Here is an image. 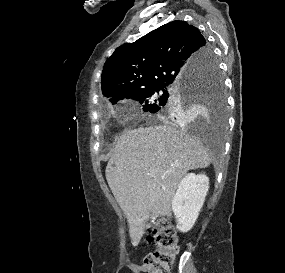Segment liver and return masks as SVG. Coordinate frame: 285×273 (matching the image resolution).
Returning <instances> with one entry per match:
<instances>
[{"label":"liver","instance_id":"obj_1","mask_svg":"<svg viewBox=\"0 0 285 273\" xmlns=\"http://www.w3.org/2000/svg\"><path fill=\"white\" fill-rule=\"evenodd\" d=\"M212 162L197 139L164 122L122 134L106 167V179L129 223L137 246L149 216L171 214V202L183 176Z\"/></svg>","mask_w":285,"mask_h":273}]
</instances>
